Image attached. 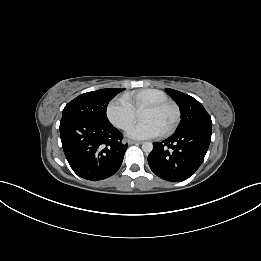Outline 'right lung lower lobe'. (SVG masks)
<instances>
[{"mask_svg":"<svg viewBox=\"0 0 261 261\" xmlns=\"http://www.w3.org/2000/svg\"><path fill=\"white\" fill-rule=\"evenodd\" d=\"M59 129L65 156L77 175L98 181L118 171L128 145L111 123L64 115Z\"/></svg>","mask_w":261,"mask_h":261,"instance_id":"obj_1","label":"right lung lower lobe"}]
</instances>
